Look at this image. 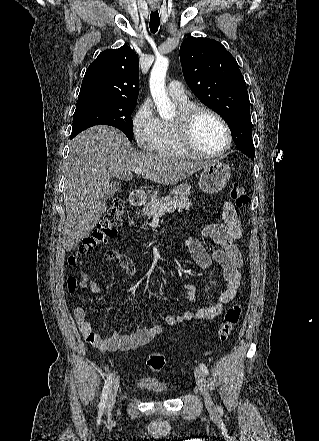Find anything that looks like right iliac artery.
<instances>
[{"label": "right iliac artery", "instance_id": "obj_1", "mask_svg": "<svg viewBox=\"0 0 319 441\" xmlns=\"http://www.w3.org/2000/svg\"><path fill=\"white\" fill-rule=\"evenodd\" d=\"M112 379H113V374H110L107 377V379L105 381V384H104V387H103L102 396H101V400H100V404H99V415L100 416L104 412V408H105L108 392H109V389H110L111 384H112Z\"/></svg>", "mask_w": 319, "mask_h": 441}]
</instances>
